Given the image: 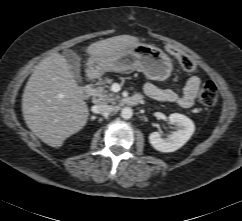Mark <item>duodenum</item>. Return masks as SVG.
Instances as JSON below:
<instances>
[{
    "label": "duodenum",
    "mask_w": 242,
    "mask_h": 221,
    "mask_svg": "<svg viewBox=\"0 0 242 221\" xmlns=\"http://www.w3.org/2000/svg\"><path fill=\"white\" fill-rule=\"evenodd\" d=\"M88 80L89 81L93 80V77L90 76L88 78ZM79 94L82 98H88L91 94L90 87L88 85L81 87L80 90H79ZM139 101H140V98L134 97V96L128 97V98L125 99V103L127 105H130V106L137 105L139 103Z\"/></svg>",
    "instance_id": "1"
}]
</instances>
